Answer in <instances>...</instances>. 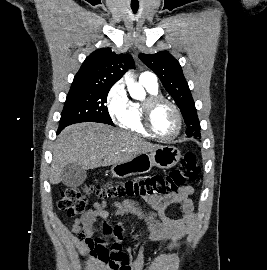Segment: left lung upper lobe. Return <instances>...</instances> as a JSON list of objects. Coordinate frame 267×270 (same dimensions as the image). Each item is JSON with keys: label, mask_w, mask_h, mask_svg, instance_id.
<instances>
[{"label": "left lung upper lobe", "mask_w": 267, "mask_h": 270, "mask_svg": "<svg viewBox=\"0 0 267 270\" xmlns=\"http://www.w3.org/2000/svg\"><path fill=\"white\" fill-rule=\"evenodd\" d=\"M141 61L159 77L164 88L181 110L187 125L186 135L200 136V123L195 103L179 62L167 52L139 54Z\"/></svg>", "instance_id": "left-lung-upper-lobe-1"}]
</instances>
